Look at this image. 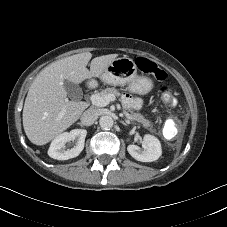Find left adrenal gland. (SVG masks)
Returning a JSON list of instances; mask_svg holds the SVG:
<instances>
[{
  "instance_id": "1",
  "label": "left adrenal gland",
  "mask_w": 227,
  "mask_h": 227,
  "mask_svg": "<svg viewBox=\"0 0 227 227\" xmlns=\"http://www.w3.org/2000/svg\"><path fill=\"white\" fill-rule=\"evenodd\" d=\"M123 125L127 126V123H125L124 121H120Z\"/></svg>"
}]
</instances>
